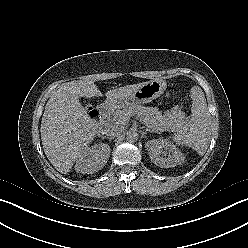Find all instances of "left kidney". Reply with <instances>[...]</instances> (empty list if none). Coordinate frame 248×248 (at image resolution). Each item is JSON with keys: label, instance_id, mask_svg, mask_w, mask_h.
<instances>
[{"label": "left kidney", "instance_id": "1", "mask_svg": "<svg viewBox=\"0 0 248 248\" xmlns=\"http://www.w3.org/2000/svg\"><path fill=\"white\" fill-rule=\"evenodd\" d=\"M151 161L162 168L175 167L184 162V155L166 139H153L145 144ZM168 154V155H167Z\"/></svg>", "mask_w": 248, "mask_h": 248}]
</instances>
